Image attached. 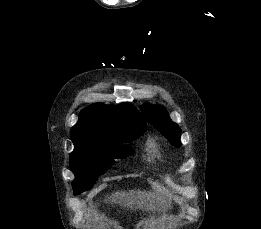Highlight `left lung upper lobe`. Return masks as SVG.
I'll return each mask as SVG.
<instances>
[{"label": "left lung upper lobe", "instance_id": "5c2ea615", "mask_svg": "<svg viewBox=\"0 0 261 229\" xmlns=\"http://www.w3.org/2000/svg\"><path fill=\"white\" fill-rule=\"evenodd\" d=\"M141 110L146 119L150 121L163 135H165L170 144L173 146H181V129L173 122L164 106L161 105H143Z\"/></svg>", "mask_w": 261, "mask_h": 229}]
</instances>
